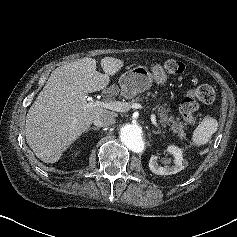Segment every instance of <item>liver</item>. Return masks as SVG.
Segmentation results:
<instances>
[{"label": "liver", "instance_id": "1", "mask_svg": "<svg viewBox=\"0 0 237 237\" xmlns=\"http://www.w3.org/2000/svg\"><path fill=\"white\" fill-rule=\"evenodd\" d=\"M124 66L113 57L83 58L56 68L30 107L25 124L26 141L45 163L57 162L62 153L102 114L113 112L87 102V94L107 87L110 76Z\"/></svg>", "mask_w": 237, "mask_h": 237}]
</instances>
